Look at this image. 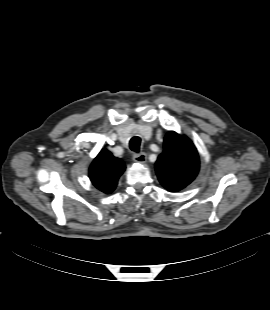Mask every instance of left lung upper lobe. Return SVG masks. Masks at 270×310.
<instances>
[{"mask_svg":"<svg viewBox=\"0 0 270 310\" xmlns=\"http://www.w3.org/2000/svg\"><path fill=\"white\" fill-rule=\"evenodd\" d=\"M155 168L166 189L180 191L195 179L199 171L198 152L189 138L171 131L164 139V151Z\"/></svg>","mask_w":270,"mask_h":310,"instance_id":"5c2ea615","label":"left lung upper lobe"}]
</instances>
